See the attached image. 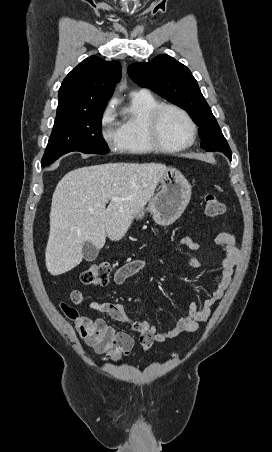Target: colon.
<instances>
[{
  "instance_id": "colon-1",
  "label": "colon",
  "mask_w": 272,
  "mask_h": 452,
  "mask_svg": "<svg viewBox=\"0 0 272 452\" xmlns=\"http://www.w3.org/2000/svg\"><path fill=\"white\" fill-rule=\"evenodd\" d=\"M204 213L210 219H216L224 214V203L213 194H207L203 200ZM112 271V265L108 261H100L91 264L79 275V280L87 285L93 286H105L109 282L110 274ZM62 310H70L66 303H61ZM105 352L109 353L112 358L116 359L119 354V350L116 348V344L110 338H105L100 345Z\"/></svg>"
}]
</instances>
